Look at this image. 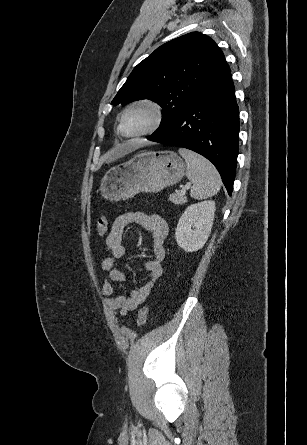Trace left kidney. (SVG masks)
Instances as JSON below:
<instances>
[{
	"instance_id": "5707ae66",
	"label": "left kidney",
	"mask_w": 307,
	"mask_h": 445,
	"mask_svg": "<svg viewBox=\"0 0 307 445\" xmlns=\"http://www.w3.org/2000/svg\"><path fill=\"white\" fill-rule=\"evenodd\" d=\"M215 210L214 200H203L187 206L179 218L175 233L178 247L186 253L202 249L210 237Z\"/></svg>"
}]
</instances>
